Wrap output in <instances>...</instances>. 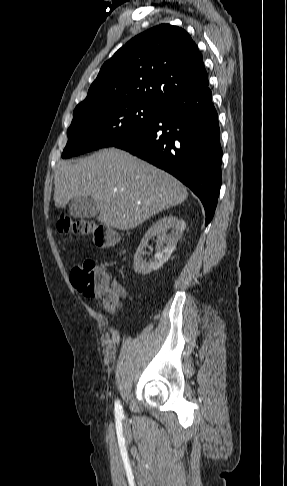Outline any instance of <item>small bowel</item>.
<instances>
[{"instance_id": "1", "label": "small bowel", "mask_w": 287, "mask_h": 486, "mask_svg": "<svg viewBox=\"0 0 287 486\" xmlns=\"http://www.w3.org/2000/svg\"><path fill=\"white\" fill-rule=\"evenodd\" d=\"M111 287L113 291L118 296V302L113 305H107L103 303V308L110 313H115L117 310L122 308L124 300L127 298V291L122 284H120L117 280H112Z\"/></svg>"}]
</instances>
